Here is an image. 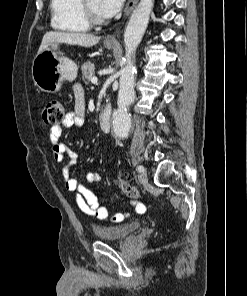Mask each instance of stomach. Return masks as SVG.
Segmentation results:
<instances>
[{
    "instance_id": "stomach-1",
    "label": "stomach",
    "mask_w": 247,
    "mask_h": 296,
    "mask_svg": "<svg viewBox=\"0 0 247 296\" xmlns=\"http://www.w3.org/2000/svg\"><path fill=\"white\" fill-rule=\"evenodd\" d=\"M112 49L113 44L104 43ZM77 64L60 52L58 43L51 44L39 52L32 63V79L35 86L43 92L56 93L64 80L72 81L77 76Z\"/></svg>"
}]
</instances>
